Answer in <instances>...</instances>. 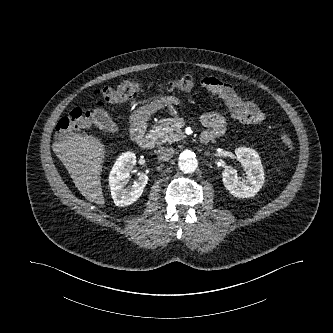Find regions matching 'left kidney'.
Returning a JSON list of instances; mask_svg holds the SVG:
<instances>
[{
	"label": "left kidney",
	"mask_w": 333,
	"mask_h": 333,
	"mask_svg": "<svg viewBox=\"0 0 333 333\" xmlns=\"http://www.w3.org/2000/svg\"><path fill=\"white\" fill-rule=\"evenodd\" d=\"M236 158L247 170V179L240 181L231 167H226L223 176L225 188L235 197L249 198L256 195L264 183V169L256 150L239 147L235 150Z\"/></svg>",
	"instance_id": "1"
}]
</instances>
